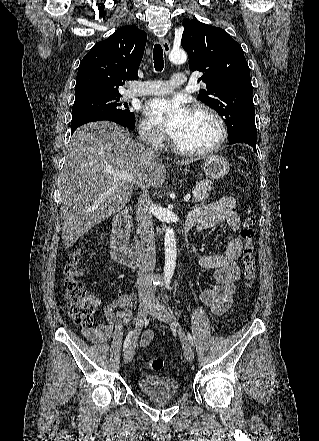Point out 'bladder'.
Instances as JSON below:
<instances>
[{"label": "bladder", "instance_id": "31cf9c89", "mask_svg": "<svg viewBox=\"0 0 319 441\" xmlns=\"http://www.w3.org/2000/svg\"><path fill=\"white\" fill-rule=\"evenodd\" d=\"M140 392L152 398L172 397L178 394L179 384L169 377L149 375L138 381Z\"/></svg>", "mask_w": 319, "mask_h": 441}]
</instances>
